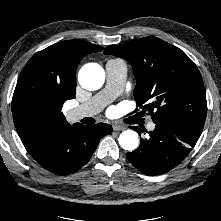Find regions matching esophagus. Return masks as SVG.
<instances>
[{"instance_id":"esophagus-1","label":"esophagus","mask_w":221,"mask_h":221,"mask_svg":"<svg viewBox=\"0 0 221 221\" xmlns=\"http://www.w3.org/2000/svg\"><path fill=\"white\" fill-rule=\"evenodd\" d=\"M113 130L114 131H123V130H125V127L122 126V125L114 124L113 125Z\"/></svg>"}]
</instances>
